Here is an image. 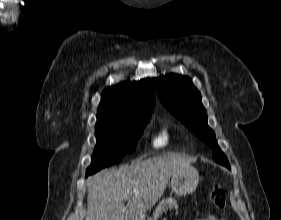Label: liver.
<instances>
[{
  "label": "liver",
  "instance_id": "liver-1",
  "mask_svg": "<svg viewBox=\"0 0 281 220\" xmlns=\"http://www.w3.org/2000/svg\"><path fill=\"white\" fill-rule=\"evenodd\" d=\"M194 160L169 153L139 160L119 169H104L88 178L85 220H140L151 209L174 172L191 167ZM127 191L131 194L125 198ZM129 199L127 205L124 200Z\"/></svg>",
  "mask_w": 281,
  "mask_h": 220
}]
</instances>
